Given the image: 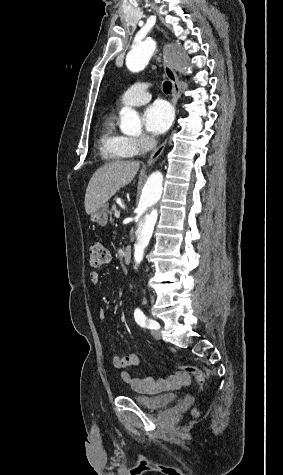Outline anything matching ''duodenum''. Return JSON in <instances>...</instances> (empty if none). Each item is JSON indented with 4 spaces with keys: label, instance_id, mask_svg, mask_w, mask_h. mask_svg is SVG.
Here are the masks:
<instances>
[{
    "label": "duodenum",
    "instance_id": "1",
    "mask_svg": "<svg viewBox=\"0 0 283 475\" xmlns=\"http://www.w3.org/2000/svg\"><path fill=\"white\" fill-rule=\"evenodd\" d=\"M133 249L131 246H126L123 251V260L125 263H129L132 258Z\"/></svg>",
    "mask_w": 283,
    "mask_h": 475
}]
</instances>
